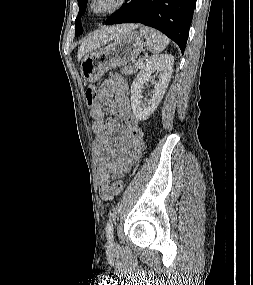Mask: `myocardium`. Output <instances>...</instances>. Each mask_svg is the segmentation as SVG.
<instances>
[{
	"label": "myocardium",
	"mask_w": 253,
	"mask_h": 285,
	"mask_svg": "<svg viewBox=\"0 0 253 285\" xmlns=\"http://www.w3.org/2000/svg\"><path fill=\"white\" fill-rule=\"evenodd\" d=\"M97 2L98 0L87 1V11L93 17H102L113 14L122 9L127 4V0H115L112 6L103 9H98L96 8Z\"/></svg>",
	"instance_id": "f54148a6"
}]
</instances>
